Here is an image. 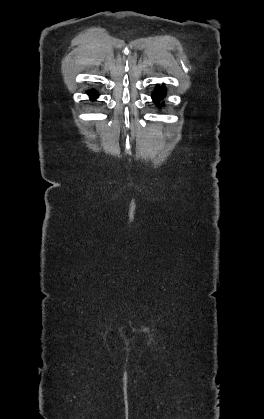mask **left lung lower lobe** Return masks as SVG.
<instances>
[{"label": "left lung lower lobe", "instance_id": "1", "mask_svg": "<svg viewBox=\"0 0 264 419\" xmlns=\"http://www.w3.org/2000/svg\"><path fill=\"white\" fill-rule=\"evenodd\" d=\"M164 96H165V91L163 90V88H157L154 91L152 98L155 103L159 104V101L163 99Z\"/></svg>", "mask_w": 264, "mask_h": 419}]
</instances>
